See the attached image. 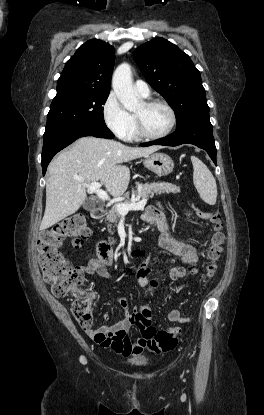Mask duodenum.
<instances>
[{
	"label": "duodenum",
	"instance_id": "410a0bca",
	"mask_svg": "<svg viewBox=\"0 0 264 415\" xmlns=\"http://www.w3.org/2000/svg\"><path fill=\"white\" fill-rule=\"evenodd\" d=\"M107 209L102 205H97L92 210V216L95 220L100 221L105 217ZM97 255L100 261L111 264L114 261V253L110 244L104 239H98L96 243Z\"/></svg>",
	"mask_w": 264,
	"mask_h": 415
}]
</instances>
